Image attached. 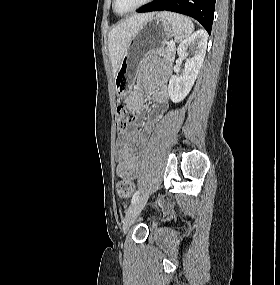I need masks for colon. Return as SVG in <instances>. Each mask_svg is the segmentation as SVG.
<instances>
[{
	"label": "colon",
	"mask_w": 280,
	"mask_h": 285,
	"mask_svg": "<svg viewBox=\"0 0 280 285\" xmlns=\"http://www.w3.org/2000/svg\"><path fill=\"white\" fill-rule=\"evenodd\" d=\"M115 118L116 130L118 133H122L133 124L135 114L132 109L120 105L117 107ZM116 188L119 197L125 199L131 196L134 189V183L131 179L122 177L117 182Z\"/></svg>",
	"instance_id": "5ec220e1"
}]
</instances>
